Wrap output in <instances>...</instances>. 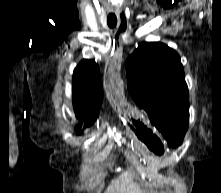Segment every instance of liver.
<instances>
[{"instance_id":"obj_1","label":"liver","mask_w":221,"mask_h":193,"mask_svg":"<svg viewBox=\"0 0 221 193\" xmlns=\"http://www.w3.org/2000/svg\"><path fill=\"white\" fill-rule=\"evenodd\" d=\"M121 178H123V175L120 176L119 179L114 180L111 185L108 186L106 193H126L124 192V188L121 184Z\"/></svg>"}]
</instances>
